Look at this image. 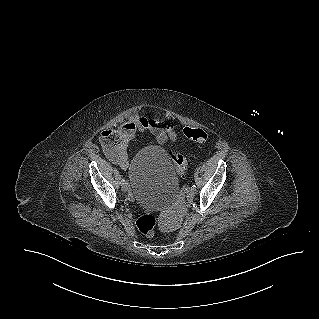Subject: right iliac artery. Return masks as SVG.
Here are the masks:
<instances>
[{
	"label": "right iliac artery",
	"mask_w": 319,
	"mask_h": 319,
	"mask_svg": "<svg viewBox=\"0 0 319 319\" xmlns=\"http://www.w3.org/2000/svg\"><path fill=\"white\" fill-rule=\"evenodd\" d=\"M123 182H125V180L122 178L121 183L123 184Z\"/></svg>",
	"instance_id": "right-iliac-artery-1"
}]
</instances>
